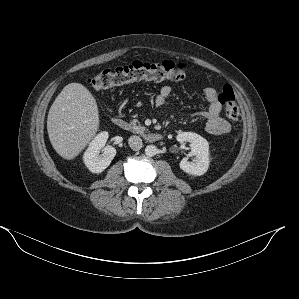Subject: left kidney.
Returning a JSON list of instances; mask_svg holds the SVG:
<instances>
[{
    "mask_svg": "<svg viewBox=\"0 0 299 299\" xmlns=\"http://www.w3.org/2000/svg\"><path fill=\"white\" fill-rule=\"evenodd\" d=\"M180 143L189 142L191 146V156H195L193 161L183 158L179 164L184 172L201 176L207 172L209 167V143L202 136L193 132H181L176 137Z\"/></svg>",
    "mask_w": 299,
    "mask_h": 299,
    "instance_id": "5707ae66",
    "label": "left kidney"
}]
</instances>
